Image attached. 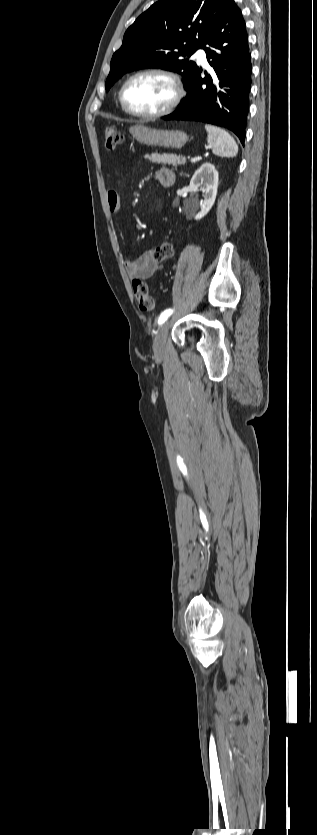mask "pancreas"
Segmentation results:
<instances>
[{"label": "pancreas", "mask_w": 317, "mask_h": 835, "mask_svg": "<svg viewBox=\"0 0 317 835\" xmlns=\"http://www.w3.org/2000/svg\"><path fill=\"white\" fill-rule=\"evenodd\" d=\"M146 158L149 159L152 163L157 164H169V165H176L179 161L180 164H185L186 159L184 156H180L177 154H158L152 153L151 155H146Z\"/></svg>", "instance_id": "1"}]
</instances>
